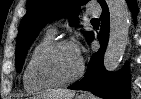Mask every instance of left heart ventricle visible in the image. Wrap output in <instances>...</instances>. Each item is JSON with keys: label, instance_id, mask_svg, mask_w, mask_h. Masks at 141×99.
Returning a JSON list of instances; mask_svg holds the SVG:
<instances>
[{"label": "left heart ventricle", "instance_id": "left-heart-ventricle-1", "mask_svg": "<svg viewBox=\"0 0 141 99\" xmlns=\"http://www.w3.org/2000/svg\"><path fill=\"white\" fill-rule=\"evenodd\" d=\"M80 59L71 46L61 47L52 52L42 63L41 73L54 80L72 77L79 69Z\"/></svg>", "mask_w": 141, "mask_h": 99}]
</instances>
